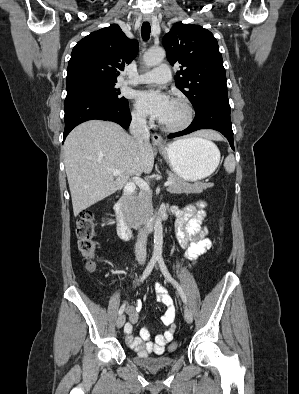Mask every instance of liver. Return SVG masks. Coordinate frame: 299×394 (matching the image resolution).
Here are the masks:
<instances>
[{
	"label": "liver",
	"mask_w": 299,
	"mask_h": 394,
	"mask_svg": "<svg viewBox=\"0 0 299 394\" xmlns=\"http://www.w3.org/2000/svg\"><path fill=\"white\" fill-rule=\"evenodd\" d=\"M195 136L221 138L210 130ZM63 156L74 216L122 189L130 176L151 173L154 165V150L149 142L140 146L120 125L100 120L73 129L63 145ZM108 169L123 173L114 176Z\"/></svg>",
	"instance_id": "liver-1"
}]
</instances>
